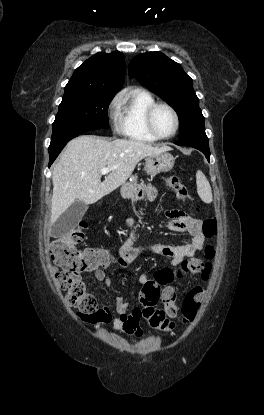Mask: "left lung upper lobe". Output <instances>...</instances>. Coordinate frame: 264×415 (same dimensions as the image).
I'll return each instance as SVG.
<instances>
[{
    "label": "left lung upper lobe",
    "mask_w": 264,
    "mask_h": 415,
    "mask_svg": "<svg viewBox=\"0 0 264 415\" xmlns=\"http://www.w3.org/2000/svg\"><path fill=\"white\" fill-rule=\"evenodd\" d=\"M129 76L135 77L174 108L180 123L179 140L206 136L205 119L192 79L180 64L160 52H148L130 61Z\"/></svg>",
    "instance_id": "5c2ea615"
}]
</instances>
